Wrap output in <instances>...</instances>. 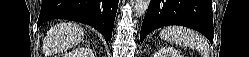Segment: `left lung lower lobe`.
Wrapping results in <instances>:
<instances>
[{"label": "left lung lower lobe", "mask_w": 249, "mask_h": 57, "mask_svg": "<svg viewBox=\"0 0 249 57\" xmlns=\"http://www.w3.org/2000/svg\"><path fill=\"white\" fill-rule=\"evenodd\" d=\"M167 25L197 30L212 43V0H151L141 27V43L151 31Z\"/></svg>", "instance_id": "obj_1"}]
</instances>
